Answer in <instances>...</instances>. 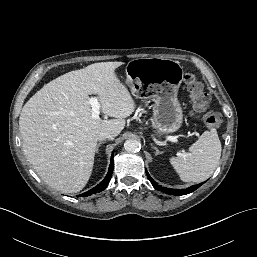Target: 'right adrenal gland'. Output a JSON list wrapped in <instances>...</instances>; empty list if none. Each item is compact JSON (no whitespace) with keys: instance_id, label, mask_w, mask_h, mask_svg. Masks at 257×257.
<instances>
[{"instance_id":"1","label":"right adrenal gland","mask_w":257,"mask_h":257,"mask_svg":"<svg viewBox=\"0 0 257 257\" xmlns=\"http://www.w3.org/2000/svg\"><path fill=\"white\" fill-rule=\"evenodd\" d=\"M102 143H103V140L99 141V143L97 145L96 153L99 152V147L101 146Z\"/></svg>"}]
</instances>
